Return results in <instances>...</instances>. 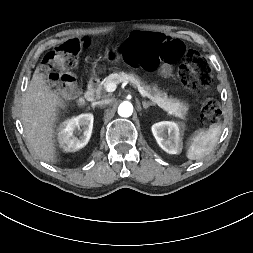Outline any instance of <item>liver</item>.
Instances as JSON below:
<instances>
[{
    "mask_svg": "<svg viewBox=\"0 0 253 253\" xmlns=\"http://www.w3.org/2000/svg\"><path fill=\"white\" fill-rule=\"evenodd\" d=\"M60 106V99L36 69L23 97L21 119L30 148L49 163L56 162L54 125Z\"/></svg>",
    "mask_w": 253,
    "mask_h": 253,
    "instance_id": "liver-1",
    "label": "liver"
}]
</instances>
